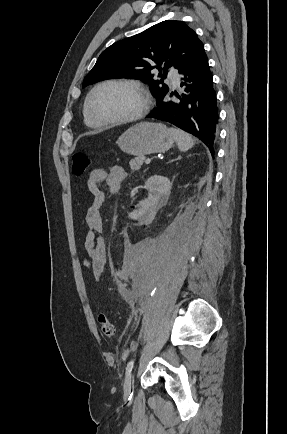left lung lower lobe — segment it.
I'll use <instances>...</instances> for the list:
<instances>
[{
	"label": "left lung lower lobe",
	"mask_w": 287,
	"mask_h": 434,
	"mask_svg": "<svg viewBox=\"0 0 287 434\" xmlns=\"http://www.w3.org/2000/svg\"><path fill=\"white\" fill-rule=\"evenodd\" d=\"M179 73L185 93L181 96L175 94L179 98L175 102L167 100L164 95L147 118L167 121L193 134L214 154L219 116L213 77L205 52L187 63Z\"/></svg>",
	"instance_id": "obj_1"
}]
</instances>
